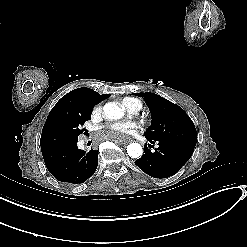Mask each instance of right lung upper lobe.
I'll return each instance as SVG.
<instances>
[{
  "mask_svg": "<svg viewBox=\"0 0 247 247\" xmlns=\"http://www.w3.org/2000/svg\"><path fill=\"white\" fill-rule=\"evenodd\" d=\"M109 94L100 95L90 88H77L63 96L50 111L44 124L41 140L47 129L76 113H92L93 107L108 98Z\"/></svg>",
  "mask_w": 247,
  "mask_h": 247,
  "instance_id": "obj_1",
  "label": "right lung upper lobe"
}]
</instances>
